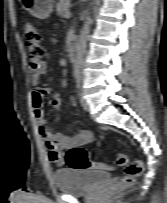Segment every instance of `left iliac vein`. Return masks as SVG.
I'll return each mask as SVG.
<instances>
[{
  "instance_id": "left-iliac-vein-1",
  "label": "left iliac vein",
  "mask_w": 167,
  "mask_h": 203,
  "mask_svg": "<svg viewBox=\"0 0 167 203\" xmlns=\"http://www.w3.org/2000/svg\"><path fill=\"white\" fill-rule=\"evenodd\" d=\"M80 103H81L82 108H83L85 111H89L88 102H87L86 99L83 97V93H82V92H80Z\"/></svg>"
}]
</instances>
